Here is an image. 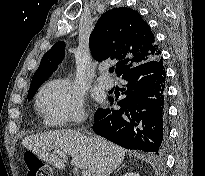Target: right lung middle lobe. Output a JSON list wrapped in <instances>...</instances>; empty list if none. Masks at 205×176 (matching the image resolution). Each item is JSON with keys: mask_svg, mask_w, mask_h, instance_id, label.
I'll return each mask as SVG.
<instances>
[{"mask_svg": "<svg viewBox=\"0 0 205 176\" xmlns=\"http://www.w3.org/2000/svg\"><path fill=\"white\" fill-rule=\"evenodd\" d=\"M37 89L28 92V100H31L34 94L36 93Z\"/></svg>", "mask_w": 205, "mask_h": 176, "instance_id": "1", "label": "right lung middle lobe"}]
</instances>
